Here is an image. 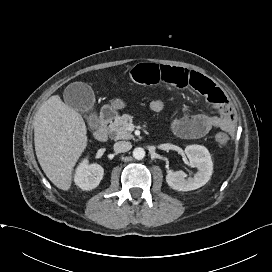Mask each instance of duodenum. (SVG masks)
Segmentation results:
<instances>
[{
    "label": "duodenum",
    "instance_id": "410a0bca",
    "mask_svg": "<svg viewBox=\"0 0 272 272\" xmlns=\"http://www.w3.org/2000/svg\"><path fill=\"white\" fill-rule=\"evenodd\" d=\"M115 113L111 108H105L100 114L96 126L93 130V136L98 141H106L108 139L107 125L113 119Z\"/></svg>",
    "mask_w": 272,
    "mask_h": 272
}]
</instances>
